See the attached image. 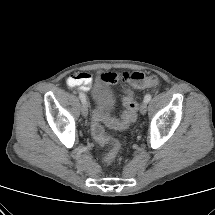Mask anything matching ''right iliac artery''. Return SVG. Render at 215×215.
I'll list each match as a JSON object with an SVG mask.
<instances>
[{"instance_id": "82829eb1", "label": "right iliac artery", "mask_w": 215, "mask_h": 215, "mask_svg": "<svg viewBox=\"0 0 215 215\" xmlns=\"http://www.w3.org/2000/svg\"><path fill=\"white\" fill-rule=\"evenodd\" d=\"M79 98H80L82 103L86 101L85 95L82 93L79 94Z\"/></svg>"}]
</instances>
